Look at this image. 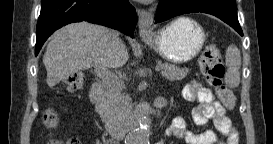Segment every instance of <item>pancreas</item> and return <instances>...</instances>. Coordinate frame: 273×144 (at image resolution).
I'll return each instance as SVG.
<instances>
[{
	"label": "pancreas",
	"instance_id": "1",
	"mask_svg": "<svg viewBox=\"0 0 273 144\" xmlns=\"http://www.w3.org/2000/svg\"><path fill=\"white\" fill-rule=\"evenodd\" d=\"M162 75L171 80H181L189 73L188 68H180L170 63H160ZM125 87L108 86L106 89V99L100 116L107 127H112L122 123L130 114L132 105L130 99L123 93Z\"/></svg>",
	"mask_w": 273,
	"mask_h": 144
}]
</instances>
